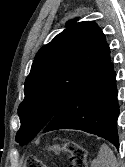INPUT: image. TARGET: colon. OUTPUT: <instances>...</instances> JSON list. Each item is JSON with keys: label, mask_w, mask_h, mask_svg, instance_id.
Listing matches in <instances>:
<instances>
[{"label": "colon", "mask_w": 125, "mask_h": 167, "mask_svg": "<svg viewBox=\"0 0 125 167\" xmlns=\"http://www.w3.org/2000/svg\"><path fill=\"white\" fill-rule=\"evenodd\" d=\"M47 150L55 153L65 152L69 154V167H87L86 150L76 143L53 144L47 147ZM24 167H47L37 156L30 155L27 157Z\"/></svg>", "instance_id": "colon-1"}]
</instances>
